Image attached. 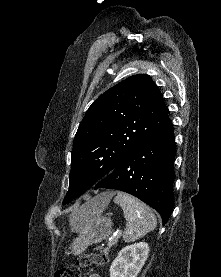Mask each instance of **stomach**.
<instances>
[{"instance_id":"0dacf381","label":"stomach","mask_w":221,"mask_h":277,"mask_svg":"<svg viewBox=\"0 0 221 277\" xmlns=\"http://www.w3.org/2000/svg\"><path fill=\"white\" fill-rule=\"evenodd\" d=\"M94 199L75 211L70 218L72 231L78 235L69 247L74 255L81 254L89 245L101 242L111 234L112 214L105 213L106 206Z\"/></svg>"}]
</instances>
